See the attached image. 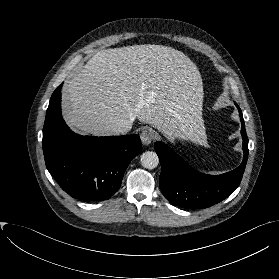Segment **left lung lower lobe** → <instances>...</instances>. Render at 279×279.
<instances>
[{"mask_svg":"<svg viewBox=\"0 0 279 279\" xmlns=\"http://www.w3.org/2000/svg\"><path fill=\"white\" fill-rule=\"evenodd\" d=\"M239 114L244 158L241 165L230 172L217 176L199 173L166 144L155 143L161 163L160 189L172 205L186 209L207 208L227 198L239 186L248 158V137L240 109Z\"/></svg>","mask_w":279,"mask_h":279,"instance_id":"0a47b994","label":"left lung lower lobe"}]
</instances>
